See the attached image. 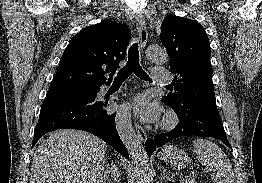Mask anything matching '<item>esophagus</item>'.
<instances>
[{"label":"esophagus","instance_id":"34e87169","mask_svg":"<svg viewBox=\"0 0 262 183\" xmlns=\"http://www.w3.org/2000/svg\"><path fill=\"white\" fill-rule=\"evenodd\" d=\"M135 22H136V26L139 32V45H140L141 50H143L148 40V31H147L146 22H145L144 17L141 14L136 15ZM135 129H136L139 139L142 142H145L147 140V133L145 132L143 127L139 125L137 122H135Z\"/></svg>","mask_w":262,"mask_h":183}]
</instances>
